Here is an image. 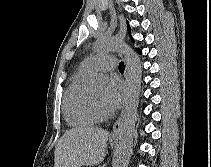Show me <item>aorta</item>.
Segmentation results:
<instances>
[{"label":"aorta","mask_w":211,"mask_h":167,"mask_svg":"<svg viewBox=\"0 0 211 167\" xmlns=\"http://www.w3.org/2000/svg\"><path fill=\"white\" fill-rule=\"evenodd\" d=\"M94 48L98 53L115 51L124 55L129 87L121 125L119 148L114 167H127L133 146L137 109L141 91L142 66L139 57L134 50L115 36L99 37ZM105 83L106 77L104 75L97 74L93 79V84L96 87H102Z\"/></svg>","instance_id":"aorta-1"}]
</instances>
